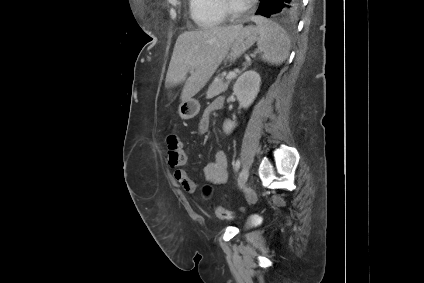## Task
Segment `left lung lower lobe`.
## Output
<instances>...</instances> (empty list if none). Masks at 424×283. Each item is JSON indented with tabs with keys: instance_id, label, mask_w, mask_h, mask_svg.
<instances>
[{
	"instance_id": "obj_1",
	"label": "left lung lower lobe",
	"mask_w": 424,
	"mask_h": 283,
	"mask_svg": "<svg viewBox=\"0 0 424 283\" xmlns=\"http://www.w3.org/2000/svg\"><path fill=\"white\" fill-rule=\"evenodd\" d=\"M302 0H260V5L255 13L265 17L276 14L289 16L295 14L301 7Z\"/></svg>"
}]
</instances>
